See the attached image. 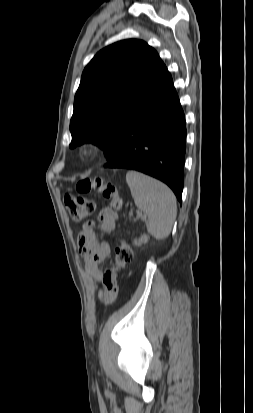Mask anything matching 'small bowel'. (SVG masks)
Listing matches in <instances>:
<instances>
[{
    "label": "small bowel",
    "instance_id": "obj_1",
    "mask_svg": "<svg viewBox=\"0 0 253 413\" xmlns=\"http://www.w3.org/2000/svg\"><path fill=\"white\" fill-rule=\"evenodd\" d=\"M117 215L109 207L103 208L98 216L99 229L103 233H111L115 229ZM78 248L85 260V270L96 282L104 284V291H99V298L104 300V307L110 308L117 300L120 292L118 274L112 270L101 269V263L110 253L111 246L108 241H100L91 224L84 225L78 235Z\"/></svg>",
    "mask_w": 253,
    "mask_h": 413
}]
</instances>
